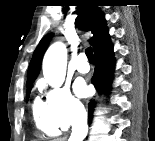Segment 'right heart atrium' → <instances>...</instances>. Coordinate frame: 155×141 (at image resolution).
<instances>
[{"label": "right heart atrium", "instance_id": "obj_1", "mask_svg": "<svg viewBox=\"0 0 155 141\" xmlns=\"http://www.w3.org/2000/svg\"><path fill=\"white\" fill-rule=\"evenodd\" d=\"M46 96L49 111L59 128L66 130L84 120L85 108L68 87L51 88Z\"/></svg>", "mask_w": 155, "mask_h": 141}]
</instances>
